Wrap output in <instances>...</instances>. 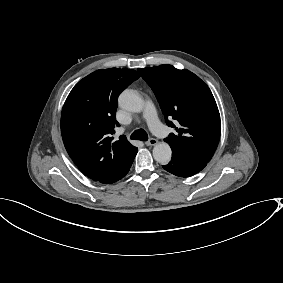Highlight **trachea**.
Listing matches in <instances>:
<instances>
[{
    "label": "trachea",
    "instance_id": "trachea-1",
    "mask_svg": "<svg viewBox=\"0 0 283 283\" xmlns=\"http://www.w3.org/2000/svg\"><path fill=\"white\" fill-rule=\"evenodd\" d=\"M131 139L140 140V141H147L148 140V134L146 133V131L144 129L141 128V129L135 130L132 133Z\"/></svg>",
    "mask_w": 283,
    "mask_h": 283
}]
</instances>
